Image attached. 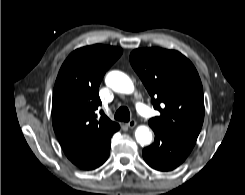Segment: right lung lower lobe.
Here are the masks:
<instances>
[{"mask_svg": "<svg viewBox=\"0 0 245 195\" xmlns=\"http://www.w3.org/2000/svg\"><path fill=\"white\" fill-rule=\"evenodd\" d=\"M110 145H111V140L107 142L106 147L103 148V156L101 157L100 161H101V165L107 160L108 156H109V151H110Z\"/></svg>", "mask_w": 245, "mask_h": 195, "instance_id": "right-lung-lower-lobe-1", "label": "right lung lower lobe"}]
</instances>
